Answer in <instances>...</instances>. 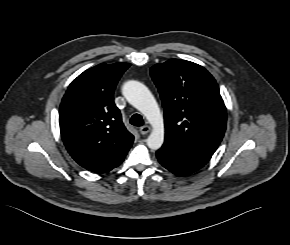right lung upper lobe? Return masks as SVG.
Masks as SVG:
<instances>
[{
    "mask_svg": "<svg viewBox=\"0 0 290 245\" xmlns=\"http://www.w3.org/2000/svg\"><path fill=\"white\" fill-rule=\"evenodd\" d=\"M129 63L99 64L68 87L59 110L60 131L72 158L92 172L119 166L134 140L122 123L113 92Z\"/></svg>",
    "mask_w": 290,
    "mask_h": 245,
    "instance_id": "1",
    "label": "right lung upper lobe"
}]
</instances>
